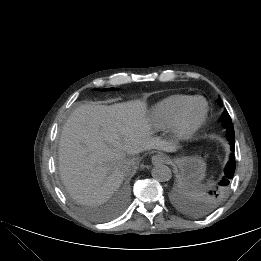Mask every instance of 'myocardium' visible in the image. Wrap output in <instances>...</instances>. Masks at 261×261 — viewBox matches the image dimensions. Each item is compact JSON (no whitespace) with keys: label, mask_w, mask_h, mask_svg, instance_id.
<instances>
[{"label":"myocardium","mask_w":261,"mask_h":261,"mask_svg":"<svg viewBox=\"0 0 261 261\" xmlns=\"http://www.w3.org/2000/svg\"><path fill=\"white\" fill-rule=\"evenodd\" d=\"M196 101H202L204 104V109L202 114L194 122H187L186 115L192 104ZM209 115V105L205 98L201 96L192 97L183 107L180 109L176 119L174 120L171 130L173 137L177 141H187L192 139L195 134L204 125Z\"/></svg>","instance_id":"f54148a6"}]
</instances>
